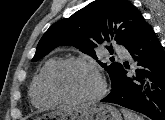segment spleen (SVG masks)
Returning <instances> with one entry per match:
<instances>
[{
	"instance_id": "spleen-1",
	"label": "spleen",
	"mask_w": 165,
	"mask_h": 120,
	"mask_svg": "<svg viewBox=\"0 0 165 120\" xmlns=\"http://www.w3.org/2000/svg\"><path fill=\"white\" fill-rule=\"evenodd\" d=\"M125 120H143L139 115L132 113L127 109H122Z\"/></svg>"
}]
</instances>
